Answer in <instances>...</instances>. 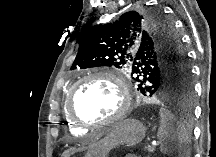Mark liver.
Returning <instances> with one entry per match:
<instances>
[{
    "instance_id": "liver-1",
    "label": "liver",
    "mask_w": 216,
    "mask_h": 157,
    "mask_svg": "<svg viewBox=\"0 0 216 157\" xmlns=\"http://www.w3.org/2000/svg\"><path fill=\"white\" fill-rule=\"evenodd\" d=\"M76 151H79V150L71 149V150H68V151L64 152L62 155H63V157H69L70 155H72Z\"/></svg>"
}]
</instances>
